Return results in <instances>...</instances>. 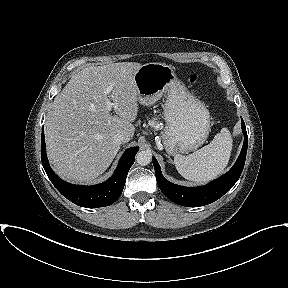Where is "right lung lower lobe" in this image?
Here are the masks:
<instances>
[{"label": "right lung lower lobe", "instance_id": "98d812e1", "mask_svg": "<svg viewBox=\"0 0 288 288\" xmlns=\"http://www.w3.org/2000/svg\"><path fill=\"white\" fill-rule=\"evenodd\" d=\"M139 147H131L122 156L113 176L98 185L81 186L61 180L51 169L46 156L44 131L41 135V161L45 172L56 189L68 200L86 208L108 206L121 195L130 167L134 163Z\"/></svg>", "mask_w": 288, "mask_h": 288}]
</instances>
